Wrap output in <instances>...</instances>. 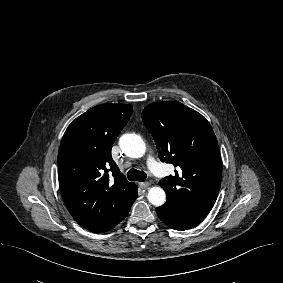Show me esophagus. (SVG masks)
<instances>
[{
	"label": "esophagus",
	"mask_w": 283,
	"mask_h": 283,
	"mask_svg": "<svg viewBox=\"0 0 283 283\" xmlns=\"http://www.w3.org/2000/svg\"><path fill=\"white\" fill-rule=\"evenodd\" d=\"M140 187L142 189H148L150 187V183L148 182L140 183Z\"/></svg>",
	"instance_id": "esophagus-1"
}]
</instances>
